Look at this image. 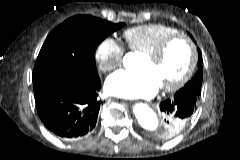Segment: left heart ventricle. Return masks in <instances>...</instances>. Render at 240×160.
Masks as SVG:
<instances>
[{
    "label": "left heart ventricle",
    "mask_w": 240,
    "mask_h": 160,
    "mask_svg": "<svg viewBox=\"0 0 240 160\" xmlns=\"http://www.w3.org/2000/svg\"><path fill=\"white\" fill-rule=\"evenodd\" d=\"M190 61V50L183 41L171 44L159 62L145 57L139 68L140 71L152 73L160 86L172 85L186 71Z\"/></svg>",
    "instance_id": "1"
}]
</instances>
